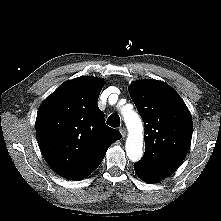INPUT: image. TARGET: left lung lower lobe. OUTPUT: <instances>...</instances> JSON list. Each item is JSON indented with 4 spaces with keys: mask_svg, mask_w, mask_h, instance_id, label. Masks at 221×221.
I'll return each instance as SVG.
<instances>
[{
    "mask_svg": "<svg viewBox=\"0 0 221 221\" xmlns=\"http://www.w3.org/2000/svg\"><path fill=\"white\" fill-rule=\"evenodd\" d=\"M134 170L138 177L147 183L158 182L170 175V173L162 170L152 168L148 165H145L141 162H137L134 165Z\"/></svg>",
    "mask_w": 221,
    "mask_h": 221,
    "instance_id": "left-lung-lower-lobe-1",
    "label": "left lung lower lobe"
}]
</instances>
